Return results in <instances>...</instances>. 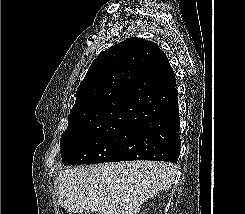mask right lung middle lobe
Wrapping results in <instances>:
<instances>
[{"instance_id": "right-lung-middle-lobe-1", "label": "right lung middle lobe", "mask_w": 245, "mask_h": 214, "mask_svg": "<svg viewBox=\"0 0 245 214\" xmlns=\"http://www.w3.org/2000/svg\"><path fill=\"white\" fill-rule=\"evenodd\" d=\"M129 130L125 123L91 130H65L61 136L64 165L97 164L118 159L119 147Z\"/></svg>"}]
</instances>
